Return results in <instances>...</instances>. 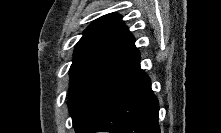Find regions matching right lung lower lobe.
I'll return each instance as SVG.
<instances>
[{
    "mask_svg": "<svg viewBox=\"0 0 221 133\" xmlns=\"http://www.w3.org/2000/svg\"><path fill=\"white\" fill-rule=\"evenodd\" d=\"M140 55L99 75L73 122L76 133H160L159 103Z\"/></svg>",
    "mask_w": 221,
    "mask_h": 133,
    "instance_id": "obj_1",
    "label": "right lung lower lobe"
}]
</instances>
